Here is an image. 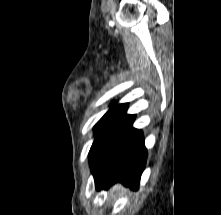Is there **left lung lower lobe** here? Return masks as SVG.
Wrapping results in <instances>:
<instances>
[{
  "mask_svg": "<svg viewBox=\"0 0 221 215\" xmlns=\"http://www.w3.org/2000/svg\"><path fill=\"white\" fill-rule=\"evenodd\" d=\"M134 120L135 115L125 111L109 129L91 167L97 190L117 182L138 189L147 150L142 131L132 126Z\"/></svg>",
  "mask_w": 221,
  "mask_h": 215,
  "instance_id": "1",
  "label": "left lung lower lobe"
}]
</instances>
